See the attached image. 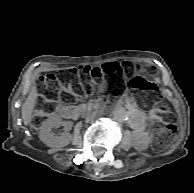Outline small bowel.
Segmentation results:
<instances>
[{
	"label": "small bowel",
	"instance_id": "obj_1",
	"mask_svg": "<svg viewBox=\"0 0 194 193\" xmlns=\"http://www.w3.org/2000/svg\"><path fill=\"white\" fill-rule=\"evenodd\" d=\"M125 106L132 128L142 131L146 125V115L136 108L133 100L128 96L125 98Z\"/></svg>",
	"mask_w": 194,
	"mask_h": 193
}]
</instances>
